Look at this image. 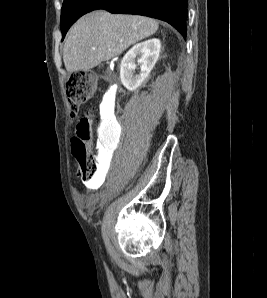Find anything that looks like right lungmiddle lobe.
I'll return each mask as SVG.
<instances>
[{
    "label": "right lung middle lobe",
    "instance_id": "1",
    "mask_svg": "<svg viewBox=\"0 0 267 298\" xmlns=\"http://www.w3.org/2000/svg\"><path fill=\"white\" fill-rule=\"evenodd\" d=\"M97 0H64L61 10V31L63 38L70 26L82 15L90 12Z\"/></svg>",
    "mask_w": 267,
    "mask_h": 298
}]
</instances>
